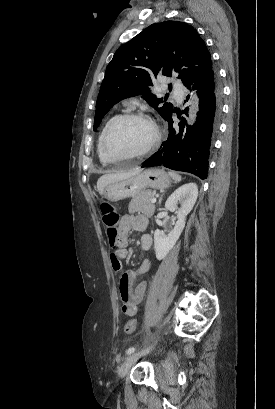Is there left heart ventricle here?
<instances>
[{
	"label": "left heart ventricle",
	"instance_id": "b2bd125f",
	"mask_svg": "<svg viewBox=\"0 0 275 409\" xmlns=\"http://www.w3.org/2000/svg\"><path fill=\"white\" fill-rule=\"evenodd\" d=\"M150 136L149 127L138 120L120 122L112 131L106 146L108 157H121L140 149Z\"/></svg>",
	"mask_w": 275,
	"mask_h": 409
}]
</instances>
